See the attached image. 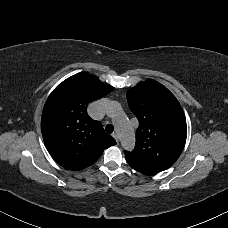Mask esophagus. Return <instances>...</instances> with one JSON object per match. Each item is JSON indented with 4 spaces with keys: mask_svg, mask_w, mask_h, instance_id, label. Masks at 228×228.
<instances>
[{
    "mask_svg": "<svg viewBox=\"0 0 228 228\" xmlns=\"http://www.w3.org/2000/svg\"><path fill=\"white\" fill-rule=\"evenodd\" d=\"M113 137L114 139L118 142L119 141V138H118V135L117 134H113Z\"/></svg>",
    "mask_w": 228,
    "mask_h": 228,
    "instance_id": "obj_1",
    "label": "esophagus"
}]
</instances>
